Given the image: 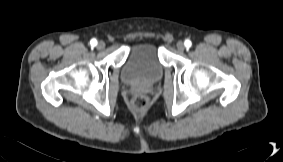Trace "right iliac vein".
I'll return each mask as SVG.
<instances>
[{
  "label": "right iliac vein",
  "instance_id": "obj_1",
  "mask_svg": "<svg viewBox=\"0 0 283 162\" xmlns=\"http://www.w3.org/2000/svg\"><path fill=\"white\" fill-rule=\"evenodd\" d=\"M97 48L99 50H102L105 48V43L103 41H99L98 44H97Z\"/></svg>",
  "mask_w": 283,
  "mask_h": 162
}]
</instances>
